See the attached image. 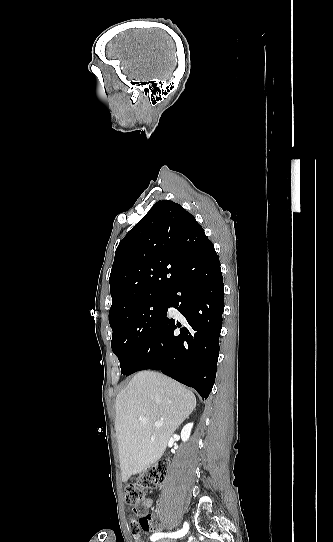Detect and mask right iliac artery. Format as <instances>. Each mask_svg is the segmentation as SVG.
Wrapping results in <instances>:
<instances>
[{"instance_id":"82829eb1","label":"right iliac artery","mask_w":333,"mask_h":542,"mask_svg":"<svg viewBox=\"0 0 333 542\" xmlns=\"http://www.w3.org/2000/svg\"><path fill=\"white\" fill-rule=\"evenodd\" d=\"M188 529H189V525L185 522L184 526H183V529H181L180 531H177V532H174V533H169V534L155 533V534H153L151 536V540L155 541V540H157L159 538H162V537L180 538V537L184 536L188 532Z\"/></svg>"}]
</instances>
